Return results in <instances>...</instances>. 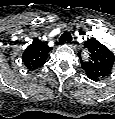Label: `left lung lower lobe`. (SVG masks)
I'll list each match as a JSON object with an SVG mask.
<instances>
[{"label":"left lung lower lobe","instance_id":"1","mask_svg":"<svg viewBox=\"0 0 115 119\" xmlns=\"http://www.w3.org/2000/svg\"><path fill=\"white\" fill-rule=\"evenodd\" d=\"M91 80L93 81H98V78L94 77V76H88Z\"/></svg>","mask_w":115,"mask_h":119}]
</instances>
